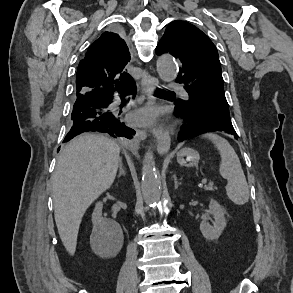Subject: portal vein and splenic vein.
<instances>
[{"mask_svg": "<svg viewBox=\"0 0 293 293\" xmlns=\"http://www.w3.org/2000/svg\"><path fill=\"white\" fill-rule=\"evenodd\" d=\"M206 182H207L206 179H203V180H202V184H205Z\"/></svg>", "mask_w": 293, "mask_h": 293, "instance_id": "obj_1", "label": "portal vein and splenic vein"}]
</instances>
